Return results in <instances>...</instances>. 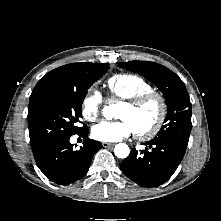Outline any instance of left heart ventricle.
<instances>
[{
  "label": "left heart ventricle",
  "instance_id": "left-heart-ventricle-1",
  "mask_svg": "<svg viewBox=\"0 0 221 221\" xmlns=\"http://www.w3.org/2000/svg\"><path fill=\"white\" fill-rule=\"evenodd\" d=\"M158 115V107L154 102L148 103L138 110L120 105L117 117L129 121L134 131H143L152 126Z\"/></svg>",
  "mask_w": 221,
  "mask_h": 221
}]
</instances>
